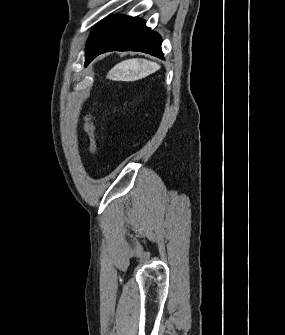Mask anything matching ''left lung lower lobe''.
Here are the masks:
<instances>
[{"label":"left lung lower lobe","mask_w":285,"mask_h":335,"mask_svg":"<svg viewBox=\"0 0 285 335\" xmlns=\"http://www.w3.org/2000/svg\"><path fill=\"white\" fill-rule=\"evenodd\" d=\"M113 50L141 51L163 58L160 35L136 17H109L97 23L87 42L85 66L99 54Z\"/></svg>","instance_id":"obj_1"}]
</instances>
